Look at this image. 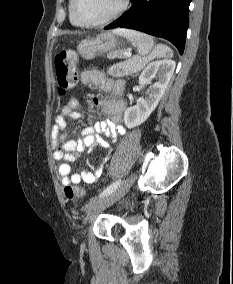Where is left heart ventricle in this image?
I'll return each instance as SVG.
<instances>
[{"label": "left heart ventricle", "mask_w": 233, "mask_h": 284, "mask_svg": "<svg viewBox=\"0 0 233 284\" xmlns=\"http://www.w3.org/2000/svg\"><path fill=\"white\" fill-rule=\"evenodd\" d=\"M121 0H79L78 13L86 21H98L113 13Z\"/></svg>", "instance_id": "1"}]
</instances>
